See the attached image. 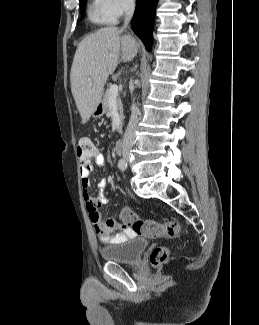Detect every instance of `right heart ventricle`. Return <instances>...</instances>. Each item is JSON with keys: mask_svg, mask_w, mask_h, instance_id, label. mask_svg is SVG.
Masks as SVG:
<instances>
[{"mask_svg": "<svg viewBox=\"0 0 259 325\" xmlns=\"http://www.w3.org/2000/svg\"><path fill=\"white\" fill-rule=\"evenodd\" d=\"M88 19L97 25H110L116 19L105 9L103 0H91L87 8Z\"/></svg>", "mask_w": 259, "mask_h": 325, "instance_id": "e07e8e85", "label": "right heart ventricle"}]
</instances>
